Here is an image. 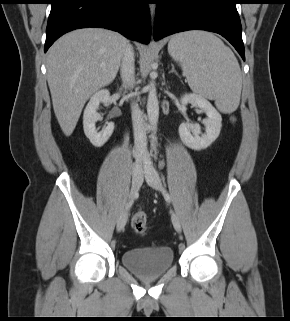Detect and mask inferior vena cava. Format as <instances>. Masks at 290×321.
Returning <instances> with one entry per match:
<instances>
[{
	"instance_id": "inferior-vena-cava-1",
	"label": "inferior vena cava",
	"mask_w": 290,
	"mask_h": 321,
	"mask_svg": "<svg viewBox=\"0 0 290 321\" xmlns=\"http://www.w3.org/2000/svg\"><path fill=\"white\" fill-rule=\"evenodd\" d=\"M120 71L123 86L133 87L135 83L134 51L130 44H126L124 48ZM132 123L136 155L138 158H144L147 156L146 126L137 105H132Z\"/></svg>"
}]
</instances>
